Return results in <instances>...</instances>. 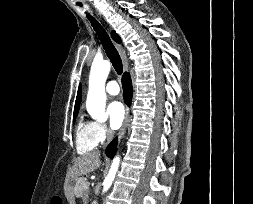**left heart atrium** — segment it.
Segmentation results:
<instances>
[{
    "mask_svg": "<svg viewBox=\"0 0 253 204\" xmlns=\"http://www.w3.org/2000/svg\"><path fill=\"white\" fill-rule=\"evenodd\" d=\"M107 116L110 127L114 130L118 129L125 119V109L121 102L112 101L107 106Z\"/></svg>",
    "mask_w": 253,
    "mask_h": 204,
    "instance_id": "obj_1",
    "label": "left heart atrium"
}]
</instances>
